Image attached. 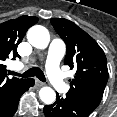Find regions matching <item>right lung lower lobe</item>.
<instances>
[{"label": "right lung lower lobe", "mask_w": 117, "mask_h": 117, "mask_svg": "<svg viewBox=\"0 0 117 117\" xmlns=\"http://www.w3.org/2000/svg\"><path fill=\"white\" fill-rule=\"evenodd\" d=\"M35 83L34 79H26L2 103H0V117H12L18 107L19 99Z\"/></svg>", "instance_id": "1"}]
</instances>
